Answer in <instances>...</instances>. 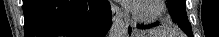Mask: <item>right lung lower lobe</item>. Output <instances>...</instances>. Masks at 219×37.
I'll return each instance as SVG.
<instances>
[{
  "mask_svg": "<svg viewBox=\"0 0 219 37\" xmlns=\"http://www.w3.org/2000/svg\"><path fill=\"white\" fill-rule=\"evenodd\" d=\"M25 37H105L112 18L106 0H23Z\"/></svg>",
  "mask_w": 219,
  "mask_h": 37,
  "instance_id": "obj_1",
  "label": "right lung lower lobe"
}]
</instances>
